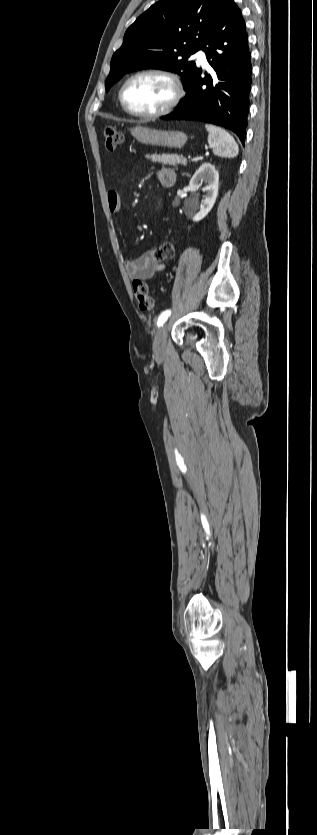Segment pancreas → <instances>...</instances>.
<instances>
[{"label":"pancreas","instance_id":"obj_1","mask_svg":"<svg viewBox=\"0 0 317 835\" xmlns=\"http://www.w3.org/2000/svg\"><path fill=\"white\" fill-rule=\"evenodd\" d=\"M152 162L169 164L176 166V164H187V160L183 155L178 154H151L146 156Z\"/></svg>","mask_w":317,"mask_h":835}]
</instances>
